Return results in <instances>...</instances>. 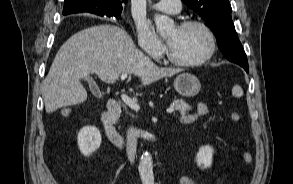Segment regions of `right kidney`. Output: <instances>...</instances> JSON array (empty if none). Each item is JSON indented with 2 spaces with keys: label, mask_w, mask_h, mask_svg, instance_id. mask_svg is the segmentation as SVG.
<instances>
[{
  "label": "right kidney",
  "mask_w": 293,
  "mask_h": 184,
  "mask_svg": "<svg viewBox=\"0 0 293 184\" xmlns=\"http://www.w3.org/2000/svg\"><path fill=\"white\" fill-rule=\"evenodd\" d=\"M78 146L84 156L91 155L101 145L100 131L94 126H87L78 133Z\"/></svg>",
  "instance_id": "1"
}]
</instances>
